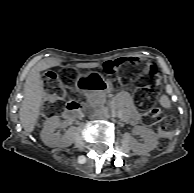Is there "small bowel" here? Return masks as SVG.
<instances>
[{"label":"small bowel","mask_w":194,"mask_h":193,"mask_svg":"<svg viewBox=\"0 0 194 193\" xmlns=\"http://www.w3.org/2000/svg\"><path fill=\"white\" fill-rule=\"evenodd\" d=\"M119 102L125 105L130 122L137 124L140 121V115L134 110L131 101L122 95L119 97Z\"/></svg>","instance_id":"c3829d8e"}]
</instances>
